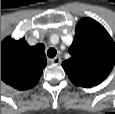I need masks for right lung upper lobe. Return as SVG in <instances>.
<instances>
[{"instance_id": "1", "label": "right lung upper lobe", "mask_w": 115, "mask_h": 114, "mask_svg": "<svg viewBox=\"0 0 115 114\" xmlns=\"http://www.w3.org/2000/svg\"><path fill=\"white\" fill-rule=\"evenodd\" d=\"M45 46H29L25 38L7 37L1 43V79L8 85L25 90L35 86L46 66Z\"/></svg>"}]
</instances>
